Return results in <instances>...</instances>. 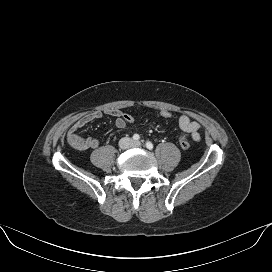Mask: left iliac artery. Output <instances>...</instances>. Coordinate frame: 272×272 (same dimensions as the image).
I'll use <instances>...</instances> for the list:
<instances>
[{"label":"left iliac artery","instance_id":"obj_1","mask_svg":"<svg viewBox=\"0 0 272 272\" xmlns=\"http://www.w3.org/2000/svg\"><path fill=\"white\" fill-rule=\"evenodd\" d=\"M146 147H147L149 150H152V149H153V144H152L150 141H147V142H146Z\"/></svg>","mask_w":272,"mask_h":272}]
</instances>
